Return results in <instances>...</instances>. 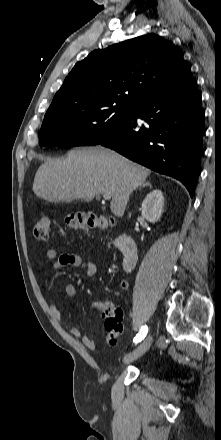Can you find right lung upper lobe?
<instances>
[{
    "instance_id": "cb5924a9",
    "label": "right lung upper lobe",
    "mask_w": 221,
    "mask_h": 440,
    "mask_svg": "<svg viewBox=\"0 0 221 440\" xmlns=\"http://www.w3.org/2000/svg\"><path fill=\"white\" fill-rule=\"evenodd\" d=\"M191 80L182 55L170 41L155 34L143 35L95 50L78 62L48 111L106 103L135 107Z\"/></svg>"
}]
</instances>
